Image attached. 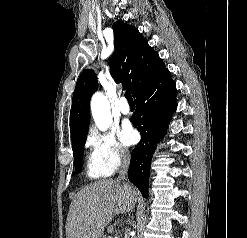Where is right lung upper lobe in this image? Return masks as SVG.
<instances>
[{"instance_id":"1","label":"right lung upper lobe","mask_w":247,"mask_h":238,"mask_svg":"<svg viewBox=\"0 0 247 238\" xmlns=\"http://www.w3.org/2000/svg\"><path fill=\"white\" fill-rule=\"evenodd\" d=\"M115 51L110 57L113 79L122 82L136 97L166 69L157 52L148 45L135 27L122 21L113 24ZM98 82L93 70L86 69L77 80L70 112L72 144L87 137L89 104Z\"/></svg>"}]
</instances>
